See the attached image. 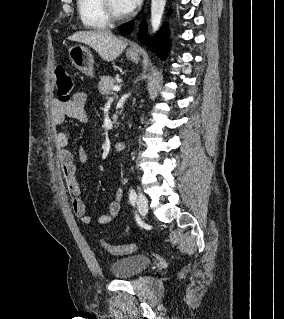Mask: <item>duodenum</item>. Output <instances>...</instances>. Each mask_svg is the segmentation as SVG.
<instances>
[{"label":"duodenum","instance_id":"1","mask_svg":"<svg viewBox=\"0 0 284 319\" xmlns=\"http://www.w3.org/2000/svg\"><path fill=\"white\" fill-rule=\"evenodd\" d=\"M114 148L117 150V151H122L124 148H125V142L124 141H117L115 144H114Z\"/></svg>","mask_w":284,"mask_h":319}]
</instances>
